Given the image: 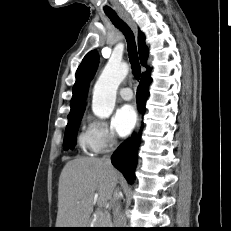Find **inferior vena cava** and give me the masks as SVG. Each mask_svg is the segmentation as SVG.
Returning a JSON list of instances; mask_svg holds the SVG:
<instances>
[{
    "instance_id": "obj_1",
    "label": "inferior vena cava",
    "mask_w": 231,
    "mask_h": 231,
    "mask_svg": "<svg viewBox=\"0 0 231 231\" xmlns=\"http://www.w3.org/2000/svg\"><path fill=\"white\" fill-rule=\"evenodd\" d=\"M102 161L104 162V164H106L109 168H113L112 167V163H111V155H105L102 158ZM116 194H117V190H115ZM119 198V196H117V199ZM115 227L116 228H124L126 225V217L125 215L121 212V210H119V208L116 210V216H115V221H114Z\"/></svg>"
}]
</instances>
